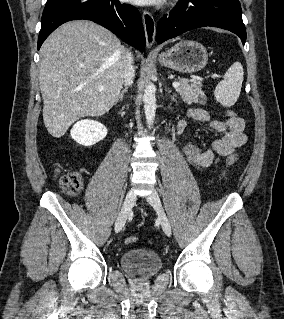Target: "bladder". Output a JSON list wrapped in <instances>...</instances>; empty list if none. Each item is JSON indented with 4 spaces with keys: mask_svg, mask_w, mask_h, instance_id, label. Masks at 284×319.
Listing matches in <instances>:
<instances>
[{
    "mask_svg": "<svg viewBox=\"0 0 284 319\" xmlns=\"http://www.w3.org/2000/svg\"><path fill=\"white\" fill-rule=\"evenodd\" d=\"M122 269L134 280H148L162 269V259L148 249H131L120 256Z\"/></svg>",
    "mask_w": 284,
    "mask_h": 319,
    "instance_id": "obj_1",
    "label": "bladder"
}]
</instances>
